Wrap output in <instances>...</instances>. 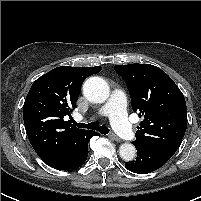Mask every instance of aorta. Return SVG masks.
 Here are the masks:
<instances>
[{"instance_id":"obj_1","label":"aorta","mask_w":201,"mask_h":201,"mask_svg":"<svg viewBox=\"0 0 201 201\" xmlns=\"http://www.w3.org/2000/svg\"><path fill=\"white\" fill-rule=\"evenodd\" d=\"M110 94L107 82L101 77H90L83 84V95L92 103L105 102ZM120 157L132 161L136 156V148L131 143H124L119 148Z\"/></svg>"}]
</instances>
